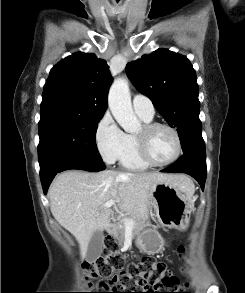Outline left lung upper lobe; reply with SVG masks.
<instances>
[{"mask_svg": "<svg viewBox=\"0 0 245 293\" xmlns=\"http://www.w3.org/2000/svg\"><path fill=\"white\" fill-rule=\"evenodd\" d=\"M126 71L136 88L177 129L183 153L206 157L198 84L190 61L177 53L158 49L128 63Z\"/></svg>", "mask_w": 245, "mask_h": 293, "instance_id": "5c2ea615", "label": "left lung upper lobe"}]
</instances>
